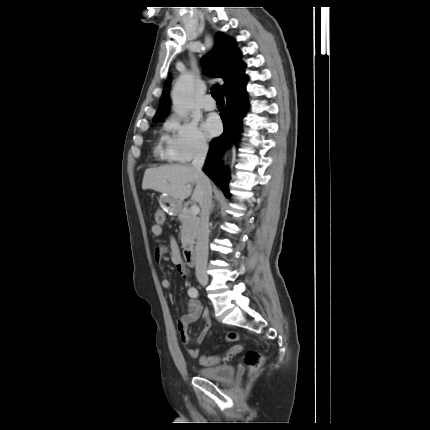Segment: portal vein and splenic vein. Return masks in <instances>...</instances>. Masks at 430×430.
I'll list each match as a JSON object with an SVG mask.
<instances>
[{
    "instance_id": "1",
    "label": "portal vein and splenic vein",
    "mask_w": 430,
    "mask_h": 430,
    "mask_svg": "<svg viewBox=\"0 0 430 430\" xmlns=\"http://www.w3.org/2000/svg\"><path fill=\"white\" fill-rule=\"evenodd\" d=\"M190 211L193 215H197L200 212V209L197 205H192L190 208Z\"/></svg>"
}]
</instances>
